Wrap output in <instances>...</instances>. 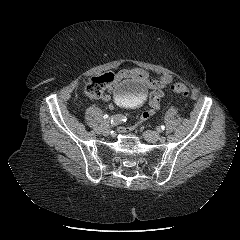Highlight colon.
Returning <instances> with one entry per match:
<instances>
[{
  "label": "colon",
  "instance_id": "1",
  "mask_svg": "<svg viewBox=\"0 0 240 240\" xmlns=\"http://www.w3.org/2000/svg\"><path fill=\"white\" fill-rule=\"evenodd\" d=\"M112 81V75L110 73L93 77L85 85V93L92 98H100L107 85ZM171 90L175 93L181 94L184 97L189 95L188 87L183 83H174L171 86Z\"/></svg>",
  "mask_w": 240,
  "mask_h": 240
}]
</instances>
